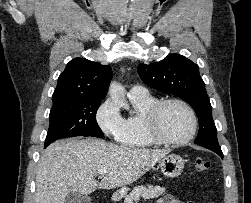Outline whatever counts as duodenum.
Returning <instances> with one entry per match:
<instances>
[{
  "label": "duodenum",
  "mask_w": 251,
  "mask_h": 203,
  "mask_svg": "<svg viewBox=\"0 0 251 203\" xmlns=\"http://www.w3.org/2000/svg\"><path fill=\"white\" fill-rule=\"evenodd\" d=\"M117 197H118V195H117V194L113 195V199H116Z\"/></svg>",
  "instance_id": "obj_1"
}]
</instances>
